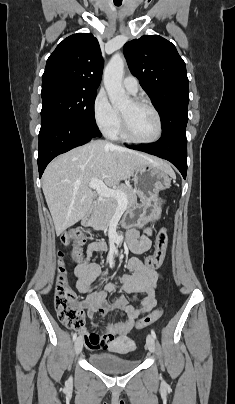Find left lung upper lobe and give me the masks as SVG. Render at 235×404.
Wrapping results in <instances>:
<instances>
[{
    "instance_id": "left-lung-upper-lobe-1",
    "label": "left lung upper lobe",
    "mask_w": 235,
    "mask_h": 404,
    "mask_svg": "<svg viewBox=\"0 0 235 404\" xmlns=\"http://www.w3.org/2000/svg\"><path fill=\"white\" fill-rule=\"evenodd\" d=\"M123 51L130 71L161 115L163 135L186 130L189 81L174 44L158 35H145L127 42Z\"/></svg>"
}]
</instances>
